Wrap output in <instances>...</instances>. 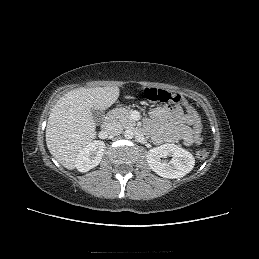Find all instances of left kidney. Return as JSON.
<instances>
[{
    "instance_id": "1",
    "label": "left kidney",
    "mask_w": 259,
    "mask_h": 259,
    "mask_svg": "<svg viewBox=\"0 0 259 259\" xmlns=\"http://www.w3.org/2000/svg\"><path fill=\"white\" fill-rule=\"evenodd\" d=\"M166 157H172V160L168 163L163 161L162 158ZM146 160L156 174L169 179L185 176L195 165L193 155L175 144H163L150 149L146 154Z\"/></svg>"
}]
</instances>
